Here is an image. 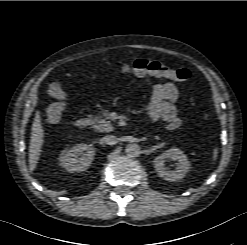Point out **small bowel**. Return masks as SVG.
I'll return each instance as SVG.
<instances>
[{"label":"small bowel","instance_id":"1","mask_svg":"<svg viewBox=\"0 0 247 245\" xmlns=\"http://www.w3.org/2000/svg\"><path fill=\"white\" fill-rule=\"evenodd\" d=\"M179 97L178 88L170 82L156 84L153 88L151 101L145 108L152 121L169 122L178 117L175 102Z\"/></svg>","mask_w":247,"mask_h":245}]
</instances>
